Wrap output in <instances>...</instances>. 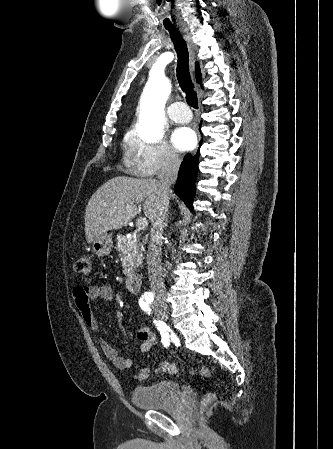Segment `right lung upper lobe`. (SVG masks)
Here are the masks:
<instances>
[{
  "label": "right lung upper lobe",
  "mask_w": 333,
  "mask_h": 449,
  "mask_svg": "<svg viewBox=\"0 0 333 449\" xmlns=\"http://www.w3.org/2000/svg\"><path fill=\"white\" fill-rule=\"evenodd\" d=\"M196 79H197V82H199V83L201 82V79H202V75H201L198 64L196 65Z\"/></svg>",
  "instance_id": "1"
}]
</instances>
